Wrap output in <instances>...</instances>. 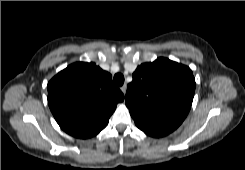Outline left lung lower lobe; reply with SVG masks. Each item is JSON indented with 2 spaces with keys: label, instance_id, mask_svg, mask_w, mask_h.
<instances>
[{
  "label": "left lung lower lobe",
  "instance_id": "left-lung-lower-lobe-1",
  "mask_svg": "<svg viewBox=\"0 0 245 170\" xmlns=\"http://www.w3.org/2000/svg\"><path fill=\"white\" fill-rule=\"evenodd\" d=\"M139 129H141L144 133L152 137H162V136L167 135V133L159 132V131L148 129V128H139Z\"/></svg>",
  "mask_w": 245,
  "mask_h": 170
}]
</instances>
